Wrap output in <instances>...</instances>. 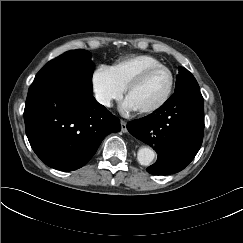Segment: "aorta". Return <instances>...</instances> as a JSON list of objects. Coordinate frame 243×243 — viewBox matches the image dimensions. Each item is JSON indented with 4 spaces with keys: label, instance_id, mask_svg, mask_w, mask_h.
<instances>
[{
    "label": "aorta",
    "instance_id": "obj_1",
    "mask_svg": "<svg viewBox=\"0 0 243 243\" xmlns=\"http://www.w3.org/2000/svg\"><path fill=\"white\" fill-rule=\"evenodd\" d=\"M155 158V152L148 148L142 147L138 150L137 160L141 165L149 166Z\"/></svg>",
    "mask_w": 243,
    "mask_h": 243
}]
</instances>
